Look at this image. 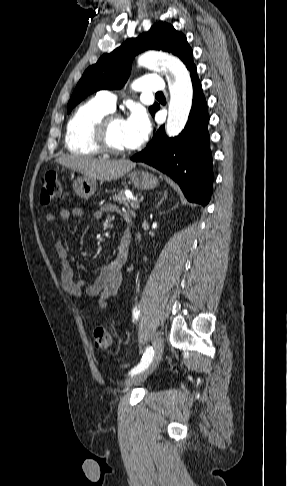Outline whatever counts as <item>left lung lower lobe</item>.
Returning <instances> with one entry per match:
<instances>
[{
	"mask_svg": "<svg viewBox=\"0 0 287 486\" xmlns=\"http://www.w3.org/2000/svg\"><path fill=\"white\" fill-rule=\"evenodd\" d=\"M193 85V100L184 130L168 138L161 126L152 141L131 160L144 162L173 178L190 202L205 206L211 196L213 172L207 125L209 115L193 57L186 63Z\"/></svg>",
	"mask_w": 287,
	"mask_h": 486,
	"instance_id": "left-lung-lower-lobe-1",
	"label": "left lung lower lobe"
}]
</instances>
